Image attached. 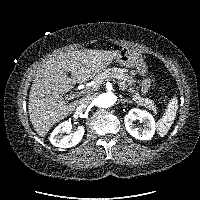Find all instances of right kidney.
I'll list each match as a JSON object with an SVG mask.
<instances>
[{"instance_id": "ca27d5eb", "label": "right kidney", "mask_w": 200, "mask_h": 200, "mask_svg": "<svg viewBox=\"0 0 200 200\" xmlns=\"http://www.w3.org/2000/svg\"><path fill=\"white\" fill-rule=\"evenodd\" d=\"M71 129V121L60 123L50 135L51 144L59 148H70L77 145L84 136V126H78L74 133H71Z\"/></svg>"}]
</instances>
